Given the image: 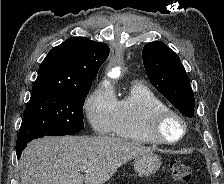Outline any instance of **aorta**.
<instances>
[{"instance_id":"aorta-1","label":"aorta","mask_w":224,"mask_h":184,"mask_svg":"<svg viewBox=\"0 0 224 184\" xmlns=\"http://www.w3.org/2000/svg\"><path fill=\"white\" fill-rule=\"evenodd\" d=\"M120 75V71H119V68H114L112 69V71L109 73V76L111 78H118Z\"/></svg>"}]
</instances>
